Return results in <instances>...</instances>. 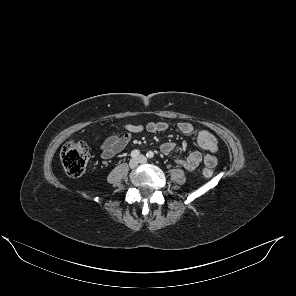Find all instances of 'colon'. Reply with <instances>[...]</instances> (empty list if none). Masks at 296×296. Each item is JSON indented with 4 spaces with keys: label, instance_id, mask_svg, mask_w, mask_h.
Here are the masks:
<instances>
[{
    "label": "colon",
    "instance_id": "5ec220e1",
    "mask_svg": "<svg viewBox=\"0 0 296 296\" xmlns=\"http://www.w3.org/2000/svg\"><path fill=\"white\" fill-rule=\"evenodd\" d=\"M90 150L88 145L82 141L67 142L61 149V163L70 176L76 177L83 174L89 160ZM203 175L210 177L213 174V168L205 166Z\"/></svg>",
    "mask_w": 296,
    "mask_h": 296
}]
</instances>
